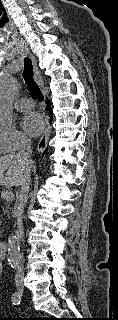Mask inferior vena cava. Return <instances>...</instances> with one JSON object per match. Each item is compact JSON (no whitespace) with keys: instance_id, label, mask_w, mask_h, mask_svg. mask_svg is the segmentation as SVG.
<instances>
[{"instance_id":"inferior-vena-cava-1","label":"inferior vena cava","mask_w":118,"mask_h":320,"mask_svg":"<svg viewBox=\"0 0 118 320\" xmlns=\"http://www.w3.org/2000/svg\"><path fill=\"white\" fill-rule=\"evenodd\" d=\"M31 155H32L31 142L28 139H21L16 157L22 164L25 165V176L21 183V189L19 191V194L17 195L15 206L13 209V214L17 219L16 236L18 237L19 241H23V237H24L22 215L27 203L28 193L30 189V182H31L30 165L32 164ZM23 279H24V266H23V255H21L20 261L17 265V269L15 273V282L19 283L23 281Z\"/></svg>"}]
</instances>
